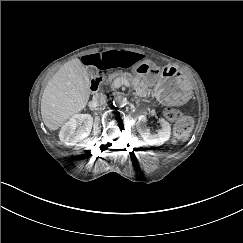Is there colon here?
Masks as SVG:
<instances>
[{"label": "colon", "mask_w": 243, "mask_h": 243, "mask_svg": "<svg viewBox=\"0 0 243 243\" xmlns=\"http://www.w3.org/2000/svg\"><path fill=\"white\" fill-rule=\"evenodd\" d=\"M164 114L170 121L176 122L174 135L177 138L183 137L191 128V120L183 116L182 112L174 107L165 109Z\"/></svg>", "instance_id": "1"}]
</instances>
